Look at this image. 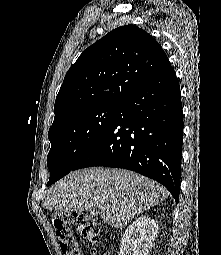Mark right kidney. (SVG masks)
Wrapping results in <instances>:
<instances>
[{
	"mask_svg": "<svg viewBox=\"0 0 221 255\" xmlns=\"http://www.w3.org/2000/svg\"><path fill=\"white\" fill-rule=\"evenodd\" d=\"M157 233V221L148 215L138 217L125 230L118 255H149Z\"/></svg>",
	"mask_w": 221,
	"mask_h": 255,
	"instance_id": "right-kidney-1",
	"label": "right kidney"
}]
</instances>
